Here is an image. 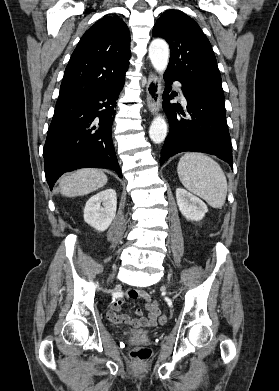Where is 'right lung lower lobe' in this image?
I'll list each match as a JSON object with an SVG mask.
<instances>
[{"label":"right lung lower lobe","instance_id":"98d812e1","mask_svg":"<svg viewBox=\"0 0 279 391\" xmlns=\"http://www.w3.org/2000/svg\"><path fill=\"white\" fill-rule=\"evenodd\" d=\"M123 85L56 103L43 149L51 189L63 173L82 167L109 168L122 177L111 126Z\"/></svg>","mask_w":279,"mask_h":391}]
</instances>
